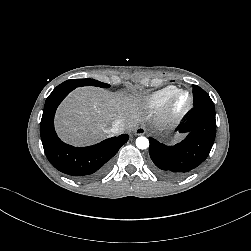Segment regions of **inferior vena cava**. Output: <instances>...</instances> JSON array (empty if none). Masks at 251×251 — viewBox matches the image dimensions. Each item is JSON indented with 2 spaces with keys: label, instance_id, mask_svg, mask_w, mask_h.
<instances>
[{
  "label": "inferior vena cava",
  "instance_id": "obj_1",
  "mask_svg": "<svg viewBox=\"0 0 251 251\" xmlns=\"http://www.w3.org/2000/svg\"><path fill=\"white\" fill-rule=\"evenodd\" d=\"M124 129H125V124L122 121L117 120L112 124V127L110 128L109 132L110 134H119L123 132Z\"/></svg>",
  "mask_w": 251,
  "mask_h": 251
}]
</instances>
